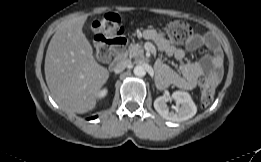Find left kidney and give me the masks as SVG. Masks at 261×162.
I'll return each mask as SVG.
<instances>
[{"label":"left kidney","instance_id":"1","mask_svg":"<svg viewBox=\"0 0 261 162\" xmlns=\"http://www.w3.org/2000/svg\"><path fill=\"white\" fill-rule=\"evenodd\" d=\"M171 99L177 104L173 110H169L167 106V102ZM154 108L164 119L177 122L188 120L197 112V107L190 94L185 91H175L171 97L160 96L156 98Z\"/></svg>","mask_w":261,"mask_h":162}]
</instances>
